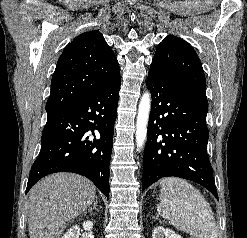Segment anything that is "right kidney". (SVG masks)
I'll list each match as a JSON object with an SVG mask.
<instances>
[{
	"mask_svg": "<svg viewBox=\"0 0 247 238\" xmlns=\"http://www.w3.org/2000/svg\"><path fill=\"white\" fill-rule=\"evenodd\" d=\"M83 228L86 231H90L93 228V222L91 220L85 221L83 223ZM80 236V227L75 225L71 227L62 238H79Z\"/></svg>",
	"mask_w": 247,
	"mask_h": 238,
	"instance_id": "right-kidney-1",
	"label": "right kidney"
}]
</instances>
